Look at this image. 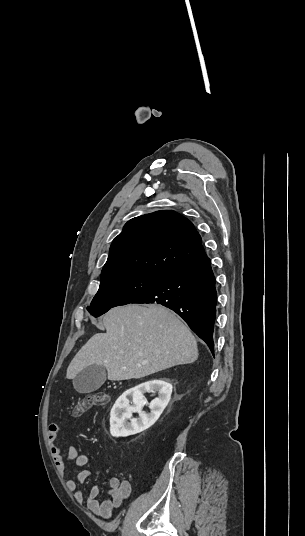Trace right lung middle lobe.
Segmentation results:
<instances>
[{"mask_svg":"<svg viewBox=\"0 0 305 536\" xmlns=\"http://www.w3.org/2000/svg\"><path fill=\"white\" fill-rule=\"evenodd\" d=\"M165 277V274L129 273L101 279L99 290L87 309L98 317L112 307L133 303Z\"/></svg>","mask_w":305,"mask_h":536,"instance_id":"dd1d6c3e","label":"right lung middle lobe"}]
</instances>
